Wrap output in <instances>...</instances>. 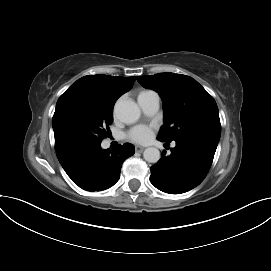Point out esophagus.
Segmentation results:
<instances>
[{
    "label": "esophagus",
    "mask_w": 271,
    "mask_h": 271,
    "mask_svg": "<svg viewBox=\"0 0 271 271\" xmlns=\"http://www.w3.org/2000/svg\"><path fill=\"white\" fill-rule=\"evenodd\" d=\"M145 148L143 146H135V151L141 153Z\"/></svg>",
    "instance_id": "obj_1"
}]
</instances>
